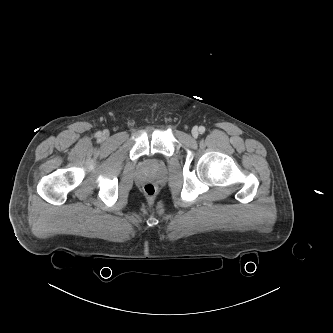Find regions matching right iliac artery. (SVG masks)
I'll use <instances>...</instances> for the list:
<instances>
[{"label":"right iliac artery","instance_id":"obj_1","mask_svg":"<svg viewBox=\"0 0 333 333\" xmlns=\"http://www.w3.org/2000/svg\"><path fill=\"white\" fill-rule=\"evenodd\" d=\"M101 134H102L101 132H98V133H97V136L99 137V136H101Z\"/></svg>","mask_w":333,"mask_h":333}]
</instances>
